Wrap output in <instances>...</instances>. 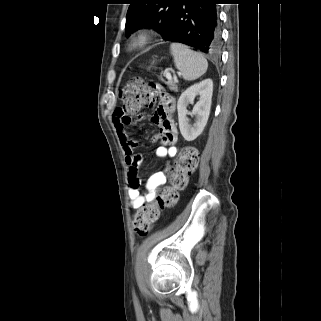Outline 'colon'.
<instances>
[{"label":"colon","mask_w":321,"mask_h":321,"mask_svg":"<svg viewBox=\"0 0 321 321\" xmlns=\"http://www.w3.org/2000/svg\"><path fill=\"white\" fill-rule=\"evenodd\" d=\"M148 84L141 78H134L126 84L120 92L123 102L120 110L123 113L134 114L155 101L154 90L146 88ZM198 162L199 156L195 148L184 147L181 149L170 170V186L162 191L154 203L142 207L135 215L133 227L137 234H148L158 220L161 211L176 204L179 191L186 186L189 176L196 171Z\"/></svg>","instance_id":"1"}]
</instances>
